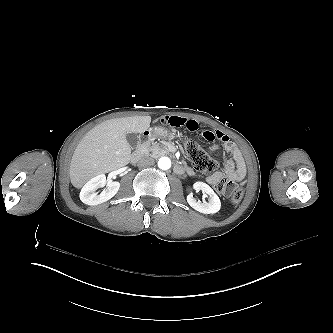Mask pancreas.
Wrapping results in <instances>:
<instances>
[{
  "label": "pancreas",
  "instance_id": "1",
  "mask_svg": "<svg viewBox=\"0 0 333 333\" xmlns=\"http://www.w3.org/2000/svg\"><path fill=\"white\" fill-rule=\"evenodd\" d=\"M166 144H167L166 141L151 143L145 149H142L140 151L144 156H151L154 158H158L169 154V150Z\"/></svg>",
  "mask_w": 333,
  "mask_h": 333
}]
</instances>
